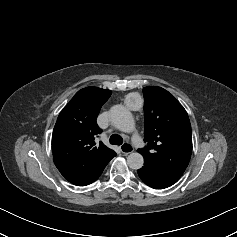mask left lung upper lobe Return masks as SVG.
Wrapping results in <instances>:
<instances>
[{"label": "left lung upper lobe", "mask_w": 237, "mask_h": 237, "mask_svg": "<svg viewBox=\"0 0 237 237\" xmlns=\"http://www.w3.org/2000/svg\"><path fill=\"white\" fill-rule=\"evenodd\" d=\"M144 141L147 146L138 152L144 163L181 176L192 153L189 117L172 94L161 87L143 88Z\"/></svg>", "instance_id": "1"}]
</instances>
